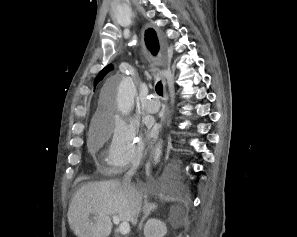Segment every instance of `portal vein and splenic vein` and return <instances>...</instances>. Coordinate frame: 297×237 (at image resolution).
I'll return each mask as SVG.
<instances>
[{"label":"portal vein and splenic vein","mask_w":297,"mask_h":237,"mask_svg":"<svg viewBox=\"0 0 297 237\" xmlns=\"http://www.w3.org/2000/svg\"><path fill=\"white\" fill-rule=\"evenodd\" d=\"M113 222H114V224L119 225L120 234L127 235L130 232L129 223L128 222L120 223V219L118 218V216H116V215L113 216Z\"/></svg>","instance_id":"obj_1"}]
</instances>
